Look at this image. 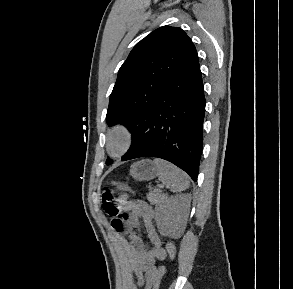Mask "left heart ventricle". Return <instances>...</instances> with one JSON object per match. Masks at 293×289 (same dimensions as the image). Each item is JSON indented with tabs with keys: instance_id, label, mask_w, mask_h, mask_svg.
Wrapping results in <instances>:
<instances>
[{
	"instance_id": "obj_1",
	"label": "left heart ventricle",
	"mask_w": 293,
	"mask_h": 289,
	"mask_svg": "<svg viewBox=\"0 0 293 289\" xmlns=\"http://www.w3.org/2000/svg\"><path fill=\"white\" fill-rule=\"evenodd\" d=\"M112 146L114 149H117L120 146V140L119 139L114 140Z\"/></svg>"
}]
</instances>
